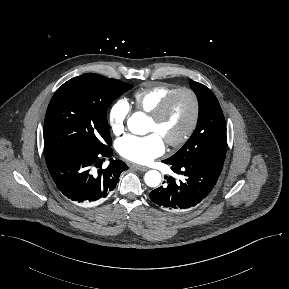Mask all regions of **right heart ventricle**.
Returning a JSON list of instances; mask_svg holds the SVG:
<instances>
[{
	"mask_svg": "<svg viewBox=\"0 0 289 289\" xmlns=\"http://www.w3.org/2000/svg\"><path fill=\"white\" fill-rule=\"evenodd\" d=\"M178 87L167 83H152L135 91L133 102L135 108L145 113H151L159 104Z\"/></svg>",
	"mask_w": 289,
	"mask_h": 289,
	"instance_id": "e07e8e85",
	"label": "right heart ventricle"
}]
</instances>
